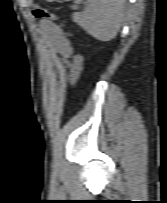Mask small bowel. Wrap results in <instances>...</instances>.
Returning <instances> with one entry per match:
<instances>
[{"label": "small bowel", "instance_id": "obj_1", "mask_svg": "<svg viewBox=\"0 0 167 203\" xmlns=\"http://www.w3.org/2000/svg\"><path fill=\"white\" fill-rule=\"evenodd\" d=\"M39 28L52 53L69 67L73 49L64 37L61 29L55 23L47 20L40 21Z\"/></svg>", "mask_w": 167, "mask_h": 203}]
</instances>
